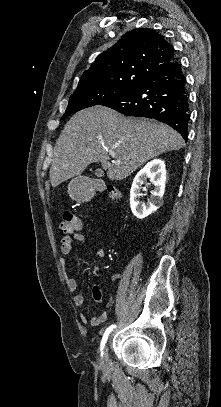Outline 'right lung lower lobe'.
Instances as JSON below:
<instances>
[{"label": "right lung lower lobe", "mask_w": 221, "mask_h": 407, "mask_svg": "<svg viewBox=\"0 0 221 407\" xmlns=\"http://www.w3.org/2000/svg\"><path fill=\"white\" fill-rule=\"evenodd\" d=\"M177 60L175 58L126 94L103 105L127 116L146 117L166 123L187 141L189 95L186 78Z\"/></svg>", "instance_id": "98d812e1"}]
</instances>
